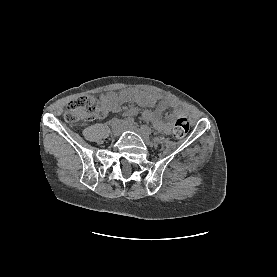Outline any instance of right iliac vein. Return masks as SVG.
Returning <instances> with one entry per match:
<instances>
[{"instance_id": "1", "label": "right iliac vein", "mask_w": 277, "mask_h": 277, "mask_svg": "<svg viewBox=\"0 0 277 277\" xmlns=\"http://www.w3.org/2000/svg\"><path fill=\"white\" fill-rule=\"evenodd\" d=\"M124 123L120 120L112 122V134L114 137H118L123 131Z\"/></svg>"}]
</instances>
